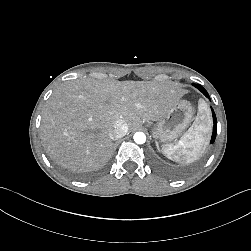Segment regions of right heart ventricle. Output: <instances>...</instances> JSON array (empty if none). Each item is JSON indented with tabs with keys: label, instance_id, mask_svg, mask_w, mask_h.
I'll return each instance as SVG.
<instances>
[{
	"label": "right heart ventricle",
	"instance_id": "obj_1",
	"mask_svg": "<svg viewBox=\"0 0 251 251\" xmlns=\"http://www.w3.org/2000/svg\"><path fill=\"white\" fill-rule=\"evenodd\" d=\"M173 93H174V90H172V89L164 91L163 93L160 94L159 101L165 102V101L169 100L171 98V96L173 95Z\"/></svg>",
	"mask_w": 251,
	"mask_h": 251
}]
</instances>
